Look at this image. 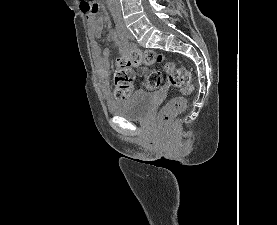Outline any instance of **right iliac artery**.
<instances>
[{"mask_svg":"<svg viewBox=\"0 0 277 225\" xmlns=\"http://www.w3.org/2000/svg\"><path fill=\"white\" fill-rule=\"evenodd\" d=\"M116 31H117L118 36L120 37V39L123 42H127L128 41V38H127V36L125 35V33L123 31V25H122V23L120 21H118L116 23Z\"/></svg>","mask_w":277,"mask_h":225,"instance_id":"82829eb1","label":"right iliac artery"}]
</instances>
